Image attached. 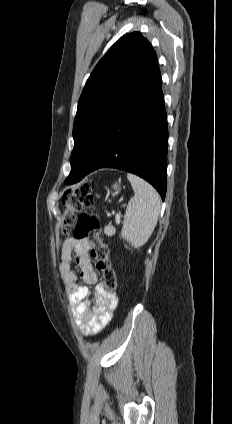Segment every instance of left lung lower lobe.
<instances>
[{
    "mask_svg": "<svg viewBox=\"0 0 232 424\" xmlns=\"http://www.w3.org/2000/svg\"><path fill=\"white\" fill-rule=\"evenodd\" d=\"M161 86L156 67L102 136L84 176L105 167L125 170L144 178L165 199L168 130ZM78 181L67 178L65 184Z\"/></svg>",
    "mask_w": 232,
    "mask_h": 424,
    "instance_id": "0a47b994",
    "label": "left lung lower lobe"
}]
</instances>
